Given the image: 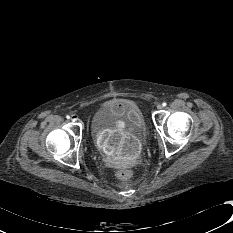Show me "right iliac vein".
Listing matches in <instances>:
<instances>
[{
	"label": "right iliac vein",
	"mask_w": 233,
	"mask_h": 233,
	"mask_svg": "<svg viewBox=\"0 0 233 233\" xmlns=\"http://www.w3.org/2000/svg\"><path fill=\"white\" fill-rule=\"evenodd\" d=\"M71 120H72L73 122H75V121H77V117L73 116V117L71 118Z\"/></svg>",
	"instance_id": "63e3f726"
}]
</instances>
